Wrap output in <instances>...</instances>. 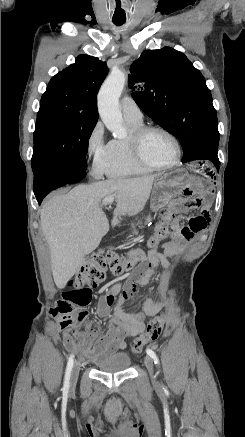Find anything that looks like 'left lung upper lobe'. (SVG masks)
<instances>
[{
    "label": "left lung upper lobe",
    "mask_w": 245,
    "mask_h": 437,
    "mask_svg": "<svg viewBox=\"0 0 245 437\" xmlns=\"http://www.w3.org/2000/svg\"><path fill=\"white\" fill-rule=\"evenodd\" d=\"M128 85L140 109L180 140L182 161L213 162L218 157V121L210 90L183 53L170 47L144 51L130 67Z\"/></svg>",
    "instance_id": "5c2ea615"
}]
</instances>
